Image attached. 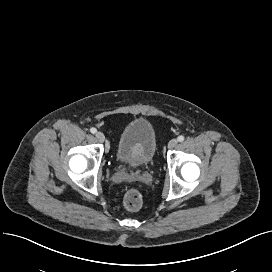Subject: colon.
Segmentation results:
<instances>
[{
  "mask_svg": "<svg viewBox=\"0 0 272 272\" xmlns=\"http://www.w3.org/2000/svg\"><path fill=\"white\" fill-rule=\"evenodd\" d=\"M143 196L137 189H130L123 198L124 207L129 211H137L141 208Z\"/></svg>",
  "mask_w": 272,
  "mask_h": 272,
  "instance_id": "colon-1",
  "label": "colon"
}]
</instances>
